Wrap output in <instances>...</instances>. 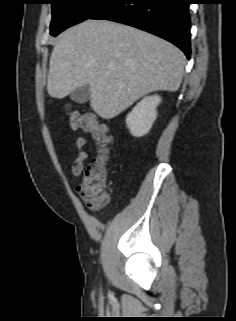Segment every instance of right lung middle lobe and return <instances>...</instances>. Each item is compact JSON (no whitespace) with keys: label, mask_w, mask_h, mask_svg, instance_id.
Returning <instances> with one entry per match:
<instances>
[{"label":"right lung middle lobe","mask_w":236,"mask_h":321,"mask_svg":"<svg viewBox=\"0 0 236 321\" xmlns=\"http://www.w3.org/2000/svg\"><path fill=\"white\" fill-rule=\"evenodd\" d=\"M110 0H50L52 4V36L80 23L102 9Z\"/></svg>","instance_id":"1"}]
</instances>
